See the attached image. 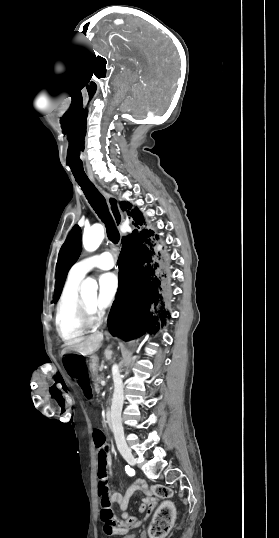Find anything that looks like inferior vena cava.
Listing matches in <instances>:
<instances>
[{
    "label": "inferior vena cava",
    "mask_w": 279,
    "mask_h": 538,
    "mask_svg": "<svg viewBox=\"0 0 279 538\" xmlns=\"http://www.w3.org/2000/svg\"><path fill=\"white\" fill-rule=\"evenodd\" d=\"M117 371L118 374L114 378L115 383V392H114V398L112 399V406H111V418H112V426H113V432L116 440V444L118 447V450L122 454V456L126 459L128 456H132L130 448H128L127 443L125 441L123 427H122V418H121V411H122V405H123V383L120 381L121 375L118 371V366H113V372Z\"/></svg>",
    "instance_id": "602c4592"
}]
</instances>
